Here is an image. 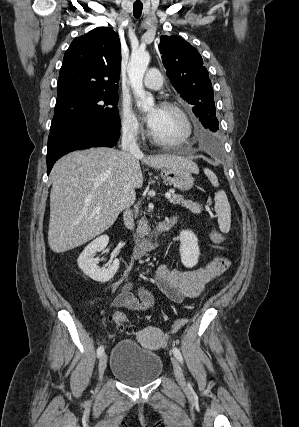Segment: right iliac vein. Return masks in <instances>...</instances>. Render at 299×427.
Segmentation results:
<instances>
[{"instance_id": "right-iliac-vein-1", "label": "right iliac vein", "mask_w": 299, "mask_h": 427, "mask_svg": "<svg viewBox=\"0 0 299 427\" xmlns=\"http://www.w3.org/2000/svg\"><path fill=\"white\" fill-rule=\"evenodd\" d=\"M107 366V355L102 354L99 359L98 371H99V380L101 381L103 378L104 371Z\"/></svg>"}]
</instances>
